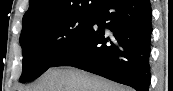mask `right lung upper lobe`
<instances>
[{
	"mask_svg": "<svg viewBox=\"0 0 173 91\" xmlns=\"http://www.w3.org/2000/svg\"><path fill=\"white\" fill-rule=\"evenodd\" d=\"M99 0H29V9L23 17V29L41 21L64 15L95 10Z\"/></svg>",
	"mask_w": 173,
	"mask_h": 91,
	"instance_id": "obj_1",
	"label": "right lung upper lobe"
}]
</instances>
